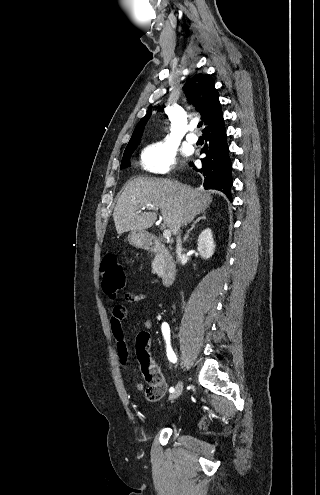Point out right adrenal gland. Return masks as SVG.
<instances>
[{"label": "right adrenal gland", "instance_id": "right-adrenal-gland-1", "mask_svg": "<svg viewBox=\"0 0 320 495\" xmlns=\"http://www.w3.org/2000/svg\"><path fill=\"white\" fill-rule=\"evenodd\" d=\"M201 214H202V215H201L200 217H198V218H197V219H196V220L192 223V225H191L190 229H188V231H187V233H186V235H185V237H184V239H183V243H184V242L188 239L190 231H192V230L196 227L197 223H199L201 220H205V219H206V212H205V211H203Z\"/></svg>", "mask_w": 320, "mask_h": 495}]
</instances>
